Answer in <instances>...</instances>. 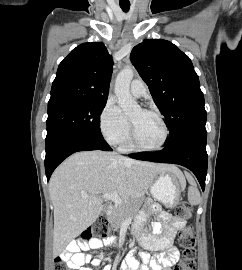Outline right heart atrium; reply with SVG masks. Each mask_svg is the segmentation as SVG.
<instances>
[{
	"label": "right heart atrium",
	"instance_id": "1",
	"mask_svg": "<svg viewBox=\"0 0 242 270\" xmlns=\"http://www.w3.org/2000/svg\"><path fill=\"white\" fill-rule=\"evenodd\" d=\"M99 127L103 137L112 145H122L130 134V123L114 99L109 98L100 116Z\"/></svg>",
	"mask_w": 242,
	"mask_h": 270
}]
</instances>
